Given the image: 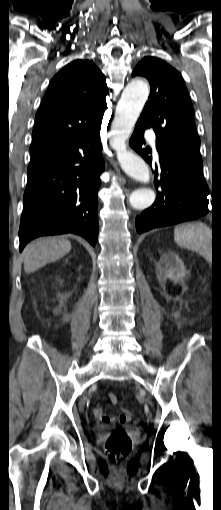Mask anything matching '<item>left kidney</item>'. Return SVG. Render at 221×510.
<instances>
[{"label":"left kidney","mask_w":221,"mask_h":510,"mask_svg":"<svg viewBox=\"0 0 221 510\" xmlns=\"http://www.w3.org/2000/svg\"><path fill=\"white\" fill-rule=\"evenodd\" d=\"M159 270L164 277L174 283L180 282L185 277V267L182 260L176 253L169 252L160 258Z\"/></svg>","instance_id":"1"}]
</instances>
